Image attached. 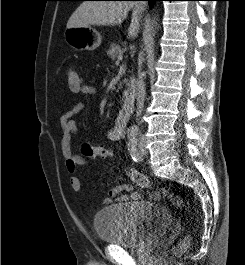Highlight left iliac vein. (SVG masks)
Here are the masks:
<instances>
[{
    "label": "left iliac vein",
    "mask_w": 245,
    "mask_h": 265,
    "mask_svg": "<svg viewBox=\"0 0 245 265\" xmlns=\"http://www.w3.org/2000/svg\"><path fill=\"white\" fill-rule=\"evenodd\" d=\"M139 152L142 156H145L147 154V149L145 147V141L141 140L138 144Z\"/></svg>",
    "instance_id": "obj_1"
}]
</instances>
